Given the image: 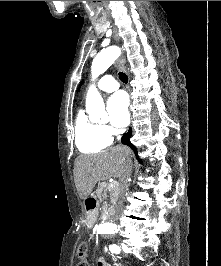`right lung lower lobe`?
Returning a JSON list of instances; mask_svg holds the SVG:
<instances>
[{
    "label": "right lung lower lobe",
    "instance_id": "obj_1",
    "mask_svg": "<svg viewBox=\"0 0 221 266\" xmlns=\"http://www.w3.org/2000/svg\"><path fill=\"white\" fill-rule=\"evenodd\" d=\"M131 136H132V130L130 128L129 131L121 138V141L123 144L129 146L134 151V153L137 155L136 147L130 142ZM138 161L142 163L141 159H138Z\"/></svg>",
    "mask_w": 221,
    "mask_h": 266
}]
</instances>
